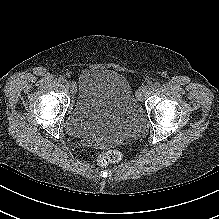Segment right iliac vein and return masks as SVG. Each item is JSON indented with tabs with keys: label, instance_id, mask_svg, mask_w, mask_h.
Wrapping results in <instances>:
<instances>
[{
	"label": "right iliac vein",
	"instance_id": "right-iliac-vein-1",
	"mask_svg": "<svg viewBox=\"0 0 219 219\" xmlns=\"http://www.w3.org/2000/svg\"><path fill=\"white\" fill-rule=\"evenodd\" d=\"M65 85L71 88V91L74 90L75 84L71 81H65Z\"/></svg>",
	"mask_w": 219,
	"mask_h": 219
}]
</instances>
